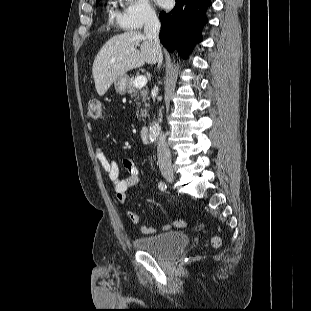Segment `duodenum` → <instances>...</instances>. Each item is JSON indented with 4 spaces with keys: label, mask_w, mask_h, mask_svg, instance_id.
<instances>
[{
    "label": "duodenum",
    "mask_w": 311,
    "mask_h": 311,
    "mask_svg": "<svg viewBox=\"0 0 311 311\" xmlns=\"http://www.w3.org/2000/svg\"><path fill=\"white\" fill-rule=\"evenodd\" d=\"M140 137H141V140L144 143L149 142V127L148 126L141 127V129H140Z\"/></svg>",
    "instance_id": "1"
}]
</instances>
